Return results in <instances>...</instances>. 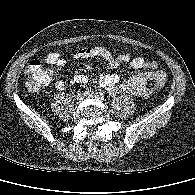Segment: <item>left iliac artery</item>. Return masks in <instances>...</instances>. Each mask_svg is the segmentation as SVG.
I'll list each match as a JSON object with an SVG mask.
<instances>
[{
	"mask_svg": "<svg viewBox=\"0 0 195 195\" xmlns=\"http://www.w3.org/2000/svg\"><path fill=\"white\" fill-rule=\"evenodd\" d=\"M100 96L103 98L104 96H103V93H100Z\"/></svg>",
	"mask_w": 195,
	"mask_h": 195,
	"instance_id": "1",
	"label": "left iliac artery"
}]
</instances>
